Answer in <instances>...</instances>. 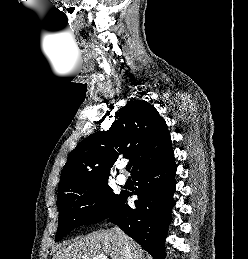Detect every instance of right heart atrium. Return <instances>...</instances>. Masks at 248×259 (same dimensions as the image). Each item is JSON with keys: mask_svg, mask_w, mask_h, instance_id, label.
<instances>
[{"mask_svg": "<svg viewBox=\"0 0 248 259\" xmlns=\"http://www.w3.org/2000/svg\"><path fill=\"white\" fill-rule=\"evenodd\" d=\"M90 205H91V207H93V208H97L98 202H97V201H92V202L90 203Z\"/></svg>", "mask_w": 248, "mask_h": 259, "instance_id": "d8ad5b80", "label": "right heart atrium"}]
</instances>
